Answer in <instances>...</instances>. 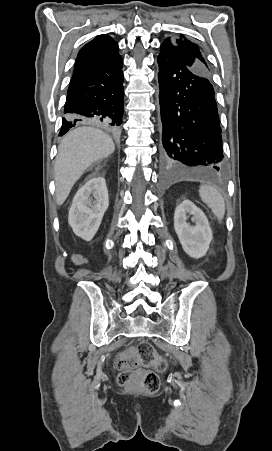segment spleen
Wrapping results in <instances>:
<instances>
[{"label": "spleen", "instance_id": "1", "mask_svg": "<svg viewBox=\"0 0 272 451\" xmlns=\"http://www.w3.org/2000/svg\"><path fill=\"white\" fill-rule=\"evenodd\" d=\"M199 196L202 202L207 204L208 208H211L214 216H217L219 222H221L226 208L224 198L218 188H214V186H200Z\"/></svg>", "mask_w": 272, "mask_h": 451}]
</instances>
